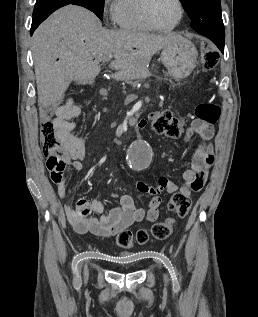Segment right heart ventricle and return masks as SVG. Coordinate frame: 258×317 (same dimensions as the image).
Wrapping results in <instances>:
<instances>
[{"instance_id":"obj_1","label":"right heart ventricle","mask_w":258,"mask_h":317,"mask_svg":"<svg viewBox=\"0 0 258 317\" xmlns=\"http://www.w3.org/2000/svg\"><path fill=\"white\" fill-rule=\"evenodd\" d=\"M147 0H118V25L126 31L151 32L143 21L142 11Z\"/></svg>"}]
</instances>
